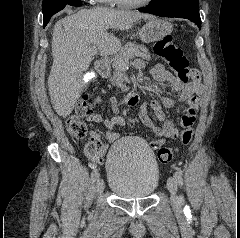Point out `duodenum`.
I'll use <instances>...</instances> for the list:
<instances>
[{
    "label": "duodenum",
    "mask_w": 240,
    "mask_h": 238,
    "mask_svg": "<svg viewBox=\"0 0 240 238\" xmlns=\"http://www.w3.org/2000/svg\"><path fill=\"white\" fill-rule=\"evenodd\" d=\"M95 68L98 71V73L100 75H102L103 77H107L109 75V65L106 60H104V59L97 60L95 62ZM123 100L125 103H127L129 105H135V104H137L139 97H138L137 93L131 92V93L127 94Z\"/></svg>",
    "instance_id": "410a0bca"
}]
</instances>
